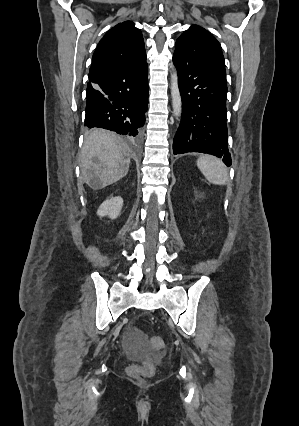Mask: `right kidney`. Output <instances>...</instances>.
Masks as SVG:
<instances>
[{
  "mask_svg": "<svg viewBox=\"0 0 299 426\" xmlns=\"http://www.w3.org/2000/svg\"><path fill=\"white\" fill-rule=\"evenodd\" d=\"M123 199L120 196L111 197L105 200L98 208L97 215L100 217L108 216L116 219L121 214Z\"/></svg>",
  "mask_w": 299,
  "mask_h": 426,
  "instance_id": "ca27d5eb",
  "label": "right kidney"
}]
</instances>
